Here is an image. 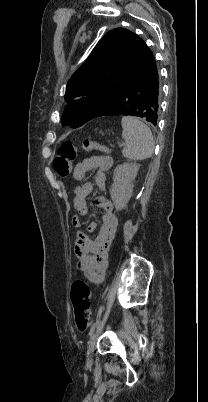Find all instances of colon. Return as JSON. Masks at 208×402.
<instances>
[{
  "label": "colon",
  "instance_id": "obj_1",
  "mask_svg": "<svg viewBox=\"0 0 208 402\" xmlns=\"http://www.w3.org/2000/svg\"><path fill=\"white\" fill-rule=\"evenodd\" d=\"M81 151H101L107 152L108 149L96 142L85 140L82 144L75 145L70 141L60 144L57 154L53 159L52 168L54 172L62 178L68 177L72 171V166ZM71 298L74 305L75 323L80 331H85L89 326L92 316L91 290L83 280H75L71 287Z\"/></svg>",
  "mask_w": 208,
  "mask_h": 402
}]
</instances>
